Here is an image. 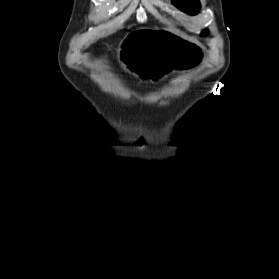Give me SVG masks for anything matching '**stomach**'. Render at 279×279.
I'll list each match as a JSON object with an SVG mask.
<instances>
[{
    "label": "stomach",
    "instance_id": "stomach-1",
    "mask_svg": "<svg viewBox=\"0 0 279 279\" xmlns=\"http://www.w3.org/2000/svg\"><path fill=\"white\" fill-rule=\"evenodd\" d=\"M142 30H131L124 41L125 54L117 58L131 75L147 82H160L161 78H179L178 69H189L203 56L202 47L190 43L173 30H153V25H142ZM186 44H185V43ZM131 49H188V50H131Z\"/></svg>",
    "mask_w": 279,
    "mask_h": 279
}]
</instances>
